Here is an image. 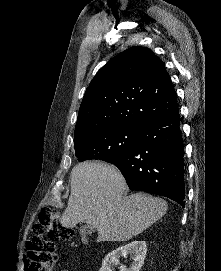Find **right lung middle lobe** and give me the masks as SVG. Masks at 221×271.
<instances>
[{
  "label": "right lung middle lobe",
  "instance_id": "obj_1",
  "mask_svg": "<svg viewBox=\"0 0 221 271\" xmlns=\"http://www.w3.org/2000/svg\"><path fill=\"white\" fill-rule=\"evenodd\" d=\"M143 128L131 125L107 127L74 139L75 155L79 161L99 159L114 163L138 141Z\"/></svg>",
  "mask_w": 221,
  "mask_h": 271
}]
</instances>
